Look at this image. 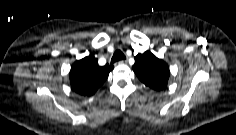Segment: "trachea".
I'll return each mask as SVG.
<instances>
[{"label":"trachea","instance_id":"3493384b","mask_svg":"<svg viewBox=\"0 0 236 135\" xmlns=\"http://www.w3.org/2000/svg\"><path fill=\"white\" fill-rule=\"evenodd\" d=\"M126 57L121 50H116L112 56L111 63H115L120 60H124Z\"/></svg>","mask_w":236,"mask_h":135}]
</instances>
